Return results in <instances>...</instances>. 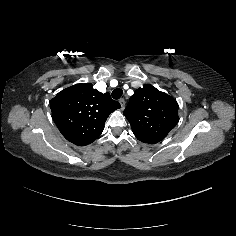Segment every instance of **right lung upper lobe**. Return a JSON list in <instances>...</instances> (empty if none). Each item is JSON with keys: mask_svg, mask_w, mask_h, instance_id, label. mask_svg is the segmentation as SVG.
<instances>
[{"mask_svg": "<svg viewBox=\"0 0 236 236\" xmlns=\"http://www.w3.org/2000/svg\"><path fill=\"white\" fill-rule=\"evenodd\" d=\"M50 107L61 134L71 143L85 146L99 137L109 114L121 106L109 93L103 94L85 83L59 92Z\"/></svg>", "mask_w": 236, "mask_h": 236, "instance_id": "cb5924a9", "label": "right lung upper lobe"}]
</instances>
